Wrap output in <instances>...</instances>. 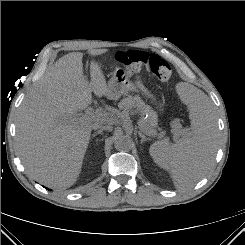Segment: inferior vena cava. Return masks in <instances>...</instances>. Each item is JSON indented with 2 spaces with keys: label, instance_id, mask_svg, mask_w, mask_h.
Masks as SVG:
<instances>
[{
  "label": "inferior vena cava",
  "instance_id": "obj_1",
  "mask_svg": "<svg viewBox=\"0 0 245 245\" xmlns=\"http://www.w3.org/2000/svg\"><path fill=\"white\" fill-rule=\"evenodd\" d=\"M93 129H103V130H112V127L111 126H109V125H104V124H98V123H96V124H94L93 126Z\"/></svg>",
  "mask_w": 245,
  "mask_h": 245
}]
</instances>
